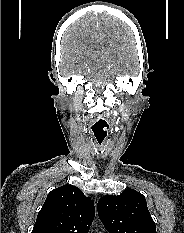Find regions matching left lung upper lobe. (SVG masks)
I'll return each instance as SVG.
<instances>
[{"instance_id": "left-lung-upper-lobe-1", "label": "left lung upper lobe", "mask_w": 184, "mask_h": 233, "mask_svg": "<svg viewBox=\"0 0 184 233\" xmlns=\"http://www.w3.org/2000/svg\"><path fill=\"white\" fill-rule=\"evenodd\" d=\"M97 209L108 233H156L146 199L134 189H125L118 196H103Z\"/></svg>"}]
</instances>
